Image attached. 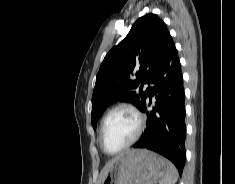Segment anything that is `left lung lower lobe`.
I'll use <instances>...</instances> for the list:
<instances>
[{"label":"left lung lower lobe","instance_id":"obj_1","mask_svg":"<svg viewBox=\"0 0 235 184\" xmlns=\"http://www.w3.org/2000/svg\"><path fill=\"white\" fill-rule=\"evenodd\" d=\"M141 110L148 126L135 148H146L169 159L180 175L185 165V110L181 65L171 35L165 38L150 77ZM152 96L155 101L152 104Z\"/></svg>","mask_w":235,"mask_h":184}]
</instances>
